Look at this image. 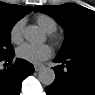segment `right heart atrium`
<instances>
[{
  "label": "right heart atrium",
  "mask_w": 95,
  "mask_h": 95,
  "mask_svg": "<svg viewBox=\"0 0 95 95\" xmlns=\"http://www.w3.org/2000/svg\"><path fill=\"white\" fill-rule=\"evenodd\" d=\"M24 19L16 21L10 29V40L14 44H19L23 40Z\"/></svg>",
  "instance_id": "d8ad5b80"
}]
</instances>
